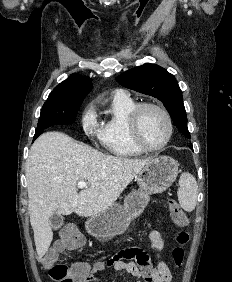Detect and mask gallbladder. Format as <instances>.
Wrapping results in <instances>:
<instances>
[{
  "label": "gallbladder",
  "instance_id": "1",
  "mask_svg": "<svg viewBox=\"0 0 232 282\" xmlns=\"http://www.w3.org/2000/svg\"><path fill=\"white\" fill-rule=\"evenodd\" d=\"M64 224V217L60 213H53L50 217V226L56 230Z\"/></svg>",
  "mask_w": 232,
  "mask_h": 282
}]
</instances>
